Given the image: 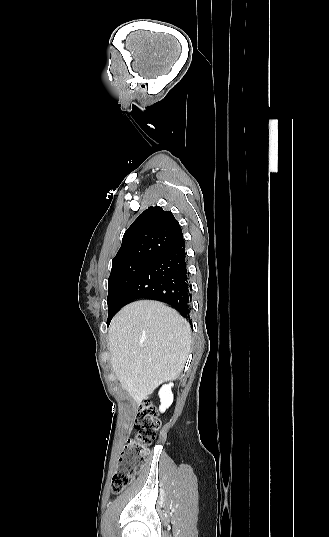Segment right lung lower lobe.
<instances>
[{
	"mask_svg": "<svg viewBox=\"0 0 329 537\" xmlns=\"http://www.w3.org/2000/svg\"><path fill=\"white\" fill-rule=\"evenodd\" d=\"M189 279L183 239L151 261L124 293L121 307L139 298L154 299L170 304L188 319L192 298Z\"/></svg>",
	"mask_w": 329,
	"mask_h": 537,
	"instance_id": "right-lung-lower-lobe-1",
	"label": "right lung lower lobe"
}]
</instances>
